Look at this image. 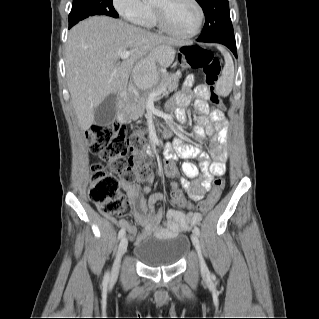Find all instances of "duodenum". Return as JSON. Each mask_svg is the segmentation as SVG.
<instances>
[{
  "label": "duodenum",
  "instance_id": "duodenum-1",
  "mask_svg": "<svg viewBox=\"0 0 319 319\" xmlns=\"http://www.w3.org/2000/svg\"><path fill=\"white\" fill-rule=\"evenodd\" d=\"M130 103V98L127 89L123 90L120 100L115 106V117L119 123H126L128 118L126 115V108Z\"/></svg>",
  "mask_w": 319,
  "mask_h": 319
}]
</instances>
